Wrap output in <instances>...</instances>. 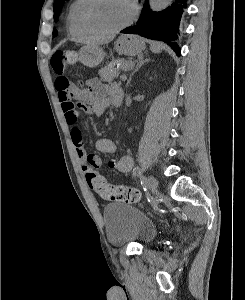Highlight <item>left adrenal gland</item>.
Masks as SVG:
<instances>
[{"instance_id":"obj_1","label":"left adrenal gland","mask_w":245,"mask_h":300,"mask_svg":"<svg viewBox=\"0 0 245 300\" xmlns=\"http://www.w3.org/2000/svg\"><path fill=\"white\" fill-rule=\"evenodd\" d=\"M148 62H149V59L143 60V58H141V59H139V60L137 61L136 68H135L134 71L131 73V75H130L128 81H127L126 87L129 86V84H130V82H131V80H132L133 75L140 69V67H141L142 65H144L145 63H148Z\"/></svg>"}]
</instances>
